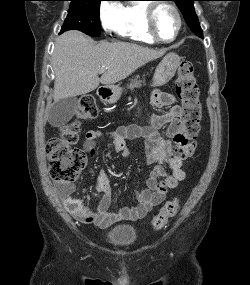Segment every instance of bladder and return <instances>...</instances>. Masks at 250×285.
<instances>
[{"label": "bladder", "instance_id": "1", "mask_svg": "<svg viewBox=\"0 0 250 285\" xmlns=\"http://www.w3.org/2000/svg\"><path fill=\"white\" fill-rule=\"evenodd\" d=\"M106 239L117 246H129L133 244L136 239V230L133 226L128 224L115 225L107 231Z\"/></svg>", "mask_w": 250, "mask_h": 285}]
</instances>
